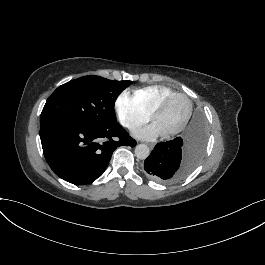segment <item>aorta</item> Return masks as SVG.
I'll return each mask as SVG.
<instances>
[{
  "instance_id": "obj_1",
  "label": "aorta",
  "mask_w": 265,
  "mask_h": 265,
  "mask_svg": "<svg viewBox=\"0 0 265 265\" xmlns=\"http://www.w3.org/2000/svg\"><path fill=\"white\" fill-rule=\"evenodd\" d=\"M150 154V149L145 144H139L135 147V156L138 159L144 160L146 159Z\"/></svg>"
}]
</instances>
